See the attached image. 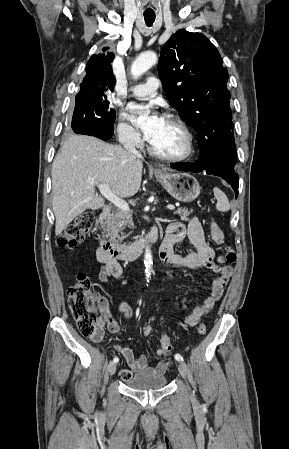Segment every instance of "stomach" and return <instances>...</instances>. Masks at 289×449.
<instances>
[{
    "label": "stomach",
    "mask_w": 289,
    "mask_h": 449,
    "mask_svg": "<svg viewBox=\"0 0 289 449\" xmlns=\"http://www.w3.org/2000/svg\"><path fill=\"white\" fill-rule=\"evenodd\" d=\"M155 177L164 189L178 201L191 202L200 194L198 181L189 173H155Z\"/></svg>",
    "instance_id": "1"
}]
</instances>
